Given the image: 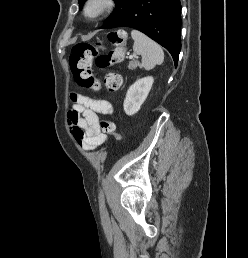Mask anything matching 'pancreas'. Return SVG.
<instances>
[{"label":"pancreas","mask_w":248,"mask_h":258,"mask_svg":"<svg viewBox=\"0 0 248 258\" xmlns=\"http://www.w3.org/2000/svg\"><path fill=\"white\" fill-rule=\"evenodd\" d=\"M137 66H139V62L138 61H132L128 64V68L131 70H134L137 68Z\"/></svg>","instance_id":"obj_1"}]
</instances>
